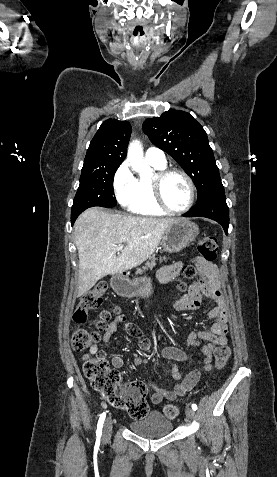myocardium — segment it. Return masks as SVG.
I'll return each instance as SVG.
<instances>
[{
  "label": "myocardium",
  "mask_w": 277,
  "mask_h": 477,
  "mask_svg": "<svg viewBox=\"0 0 277 477\" xmlns=\"http://www.w3.org/2000/svg\"><path fill=\"white\" fill-rule=\"evenodd\" d=\"M171 175H180L185 178L189 186V199L187 204L180 210L171 209L163 196V183ZM153 196L157 206L166 214L169 215H182L188 212L194 204L196 198V187L191 176L182 169L170 168L162 169L154 174L151 180Z\"/></svg>",
  "instance_id": "f54148a6"
}]
</instances>
